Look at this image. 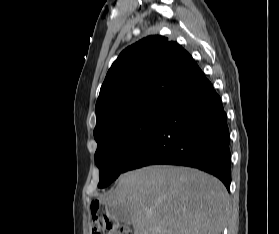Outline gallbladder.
<instances>
[{"label":"gallbladder","mask_w":279,"mask_h":234,"mask_svg":"<svg viewBox=\"0 0 279 234\" xmlns=\"http://www.w3.org/2000/svg\"><path fill=\"white\" fill-rule=\"evenodd\" d=\"M108 213L111 217L116 218L117 220L126 223L131 224V216L127 209L121 207V206H111L108 208Z\"/></svg>","instance_id":"bac80fb5"}]
</instances>
